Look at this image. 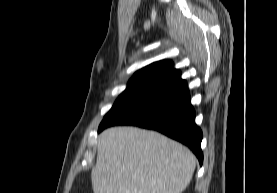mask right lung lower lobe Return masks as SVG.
Listing matches in <instances>:
<instances>
[{
  "label": "right lung lower lobe",
  "instance_id": "1",
  "mask_svg": "<svg viewBox=\"0 0 277 193\" xmlns=\"http://www.w3.org/2000/svg\"><path fill=\"white\" fill-rule=\"evenodd\" d=\"M187 82L181 80L147 94L99 126L98 132L114 125H134L159 131L188 146L203 163L202 131L195 124Z\"/></svg>",
  "mask_w": 277,
  "mask_h": 193
}]
</instances>
